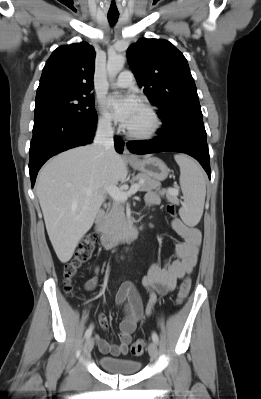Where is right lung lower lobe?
Wrapping results in <instances>:
<instances>
[{"label": "right lung lower lobe", "instance_id": "obj_1", "mask_svg": "<svg viewBox=\"0 0 261 399\" xmlns=\"http://www.w3.org/2000/svg\"><path fill=\"white\" fill-rule=\"evenodd\" d=\"M97 118L93 123H83L65 115H47L34 119L33 138L29 154V172L32 187L42 165L52 156L70 148L93 141ZM115 149L122 153L124 142L114 138Z\"/></svg>", "mask_w": 261, "mask_h": 399}]
</instances>
